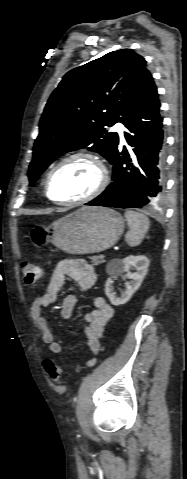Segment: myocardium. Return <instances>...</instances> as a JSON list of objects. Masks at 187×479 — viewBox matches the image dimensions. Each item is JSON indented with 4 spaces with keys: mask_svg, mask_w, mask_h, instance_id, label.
<instances>
[{
    "mask_svg": "<svg viewBox=\"0 0 187 479\" xmlns=\"http://www.w3.org/2000/svg\"><path fill=\"white\" fill-rule=\"evenodd\" d=\"M75 159H87L95 164L99 174L98 182L95 188L89 194L75 200L58 201L53 199L49 192V186H50V182L53 175L64 164ZM108 182H109V174L104 162L94 153L87 152V151H78L65 156L50 169L44 182V194L48 200L58 205H63V206L81 205V204L90 202L94 200L95 198H97L98 196H100L103 193V191L106 189Z\"/></svg>",
    "mask_w": 187,
    "mask_h": 479,
    "instance_id": "f54148a6",
    "label": "myocardium"
}]
</instances>
